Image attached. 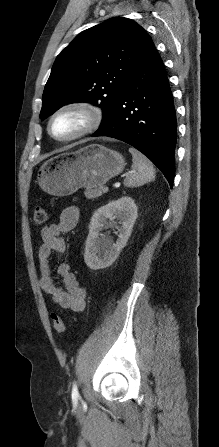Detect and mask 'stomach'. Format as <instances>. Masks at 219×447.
<instances>
[{
  "label": "stomach",
  "mask_w": 219,
  "mask_h": 447,
  "mask_svg": "<svg viewBox=\"0 0 219 447\" xmlns=\"http://www.w3.org/2000/svg\"><path fill=\"white\" fill-rule=\"evenodd\" d=\"M123 156L103 145L90 144L74 152L50 158L37 173L39 186L54 196H67L79 188H98L119 175Z\"/></svg>",
  "instance_id": "0dacf381"
}]
</instances>
